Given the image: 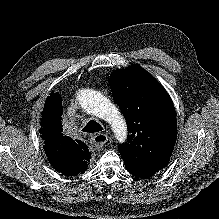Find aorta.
I'll return each mask as SVG.
<instances>
[{
	"mask_svg": "<svg viewBox=\"0 0 219 219\" xmlns=\"http://www.w3.org/2000/svg\"><path fill=\"white\" fill-rule=\"evenodd\" d=\"M77 100L88 113L108 122L120 142L127 138V125L118 109L100 92L92 89H81Z\"/></svg>",
	"mask_w": 219,
	"mask_h": 219,
	"instance_id": "762f6f07",
	"label": "aorta"
}]
</instances>
